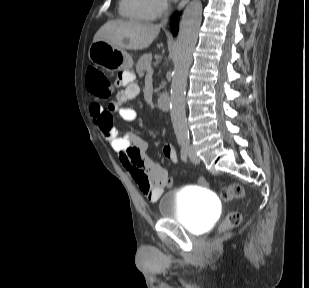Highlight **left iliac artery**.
<instances>
[{
    "label": "left iliac artery",
    "instance_id": "1",
    "mask_svg": "<svg viewBox=\"0 0 309 288\" xmlns=\"http://www.w3.org/2000/svg\"><path fill=\"white\" fill-rule=\"evenodd\" d=\"M189 149V140L182 139V149H181V159L186 161L187 160V153Z\"/></svg>",
    "mask_w": 309,
    "mask_h": 288
}]
</instances>
